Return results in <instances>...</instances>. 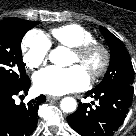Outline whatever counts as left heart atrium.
<instances>
[{"instance_id":"39dd6f15","label":"left heart atrium","mask_w":136,"mask_h":136,"mask_svg":"<svg viewBox=\"0 0 136 136\" xmlns=\"http://www.w3.org/2000/svg\"><path fill=\"white\" fill-rule=\"evenodd\" d=\"M89 78L79 66L69 68L47 67L34 75V86L40 93L63 95L87 87Z\"/></svg>"}]
</instances>
